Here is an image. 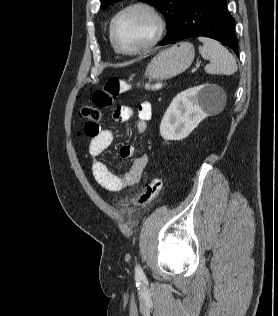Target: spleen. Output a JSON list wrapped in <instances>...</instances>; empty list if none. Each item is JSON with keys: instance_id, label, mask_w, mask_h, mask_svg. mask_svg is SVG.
Returning a JSON list of instances; mask_svg holds the SVG:
<instances>
[{"instance_id": "3e777b00", "label": "spleen", "mask_w": 278, "mask_h": 316, "mask_svg": "<svg viewBox=\"0 0 278 316\" xmlns=\"http://www.w3.org/2000/svg\"><path fill=\"white\" fill-rule=\"evenodd\" d=\"M199 41L203 43L199 47L201 56L211 60L205 67L207 73L231 75L237 71L234 56L218 41L207 37H199Z\"/></svg>"}]
</instances>
